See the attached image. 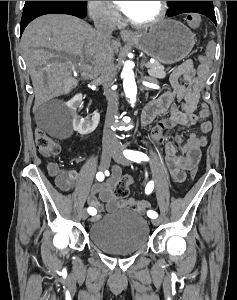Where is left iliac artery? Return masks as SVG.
<instances>
[{
    "mask_svg": "<svg viewBox=\"0 0 237 300\" xmlns=\"http://www.w3.org/2000/svg\"><path fill=\"white\" fill-rule=\"evenodd\" d=\"M124 156L134 162L140 163L141 161H148L149 158L146 154L139 152V151H133V150H124ZM154 189V182L150 181L145 188L146 194H150ZM148 217L155 219L157 218L158 214L155 211L149 210L147 212Z\"/></svg>",
    "mask_w": 237,
    "mask_h": 300,
    "instance_id": "1",
    "label": "left iliac artery"
}]
</instances>
